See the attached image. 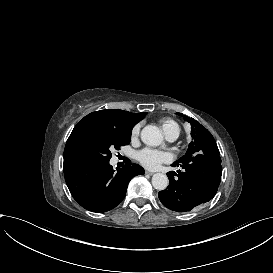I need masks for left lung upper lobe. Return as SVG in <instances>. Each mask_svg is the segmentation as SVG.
I'll use <instances>...</instances> for the list:
<instances>
[{
    "label": "left lung upper lobe",
    "instance_id": "1",
    "mask_svg": "<svg viewBox=\"0 0 273 273\" xmlns=\"http://www.w3.org/2000/svg\"><path fill=\"white\" fill-rule=\"evenodd\" d=\"M183 116L186 121L191 124L192 142L189 144L187 153L177 161H182L185 158L203 154L208 156H219V149L212 134L202 126L198 121L189 118L186 115L178 113Z\"/></svg>",
    "mask_w": 273,
    "mask_h": 273
}]
</instances>
